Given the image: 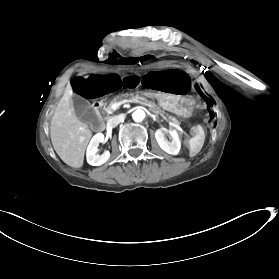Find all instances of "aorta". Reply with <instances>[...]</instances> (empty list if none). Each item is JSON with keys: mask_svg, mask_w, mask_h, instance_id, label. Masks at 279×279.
<instances>
[{"mask_svg": "<svg viewBox=\"0 0 279 279\" xmlns=\"http://www.w3.org/2000/svg\"><path fill=\"white\" fill-rule=\"evenodd\" d=\"M132 118L135 122H140L145 118V112L141 109H138L135 112H133Z\"/></svg>", "mask_w": 279, "mask_h": 279, "instance_id": "762f6f07", "label": "aorta"}]
</instances>
